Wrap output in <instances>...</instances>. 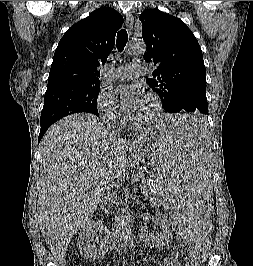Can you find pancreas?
<instances>
[{
	"label": "pancreas",
	"mask_w": 253,
	"mask_h": 266,
	"mask_svg": "<svg viewBox=\"0 0 253 266\" xmlns=\"http://www.w3.org/2000/svg\"><path fill=\"white\" fill-rule=\"evenodd\" d=\"M139 179H140V180L142 181V183H143L142 191H143L144 196H145L146 198H148V199L155 200V198L152 197L151 194L146 193V191H145L146 188H147V183H148V181H147L144 177H142V176H139Z\"/></svg>",
	"instance_id": "1"
}]
</instances>
